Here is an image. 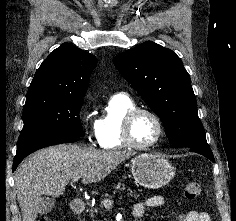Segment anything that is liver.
<instances>
[{
	"instance_id": "liver-1",
	"label": "liver",
	"mask_w": 236,
	"mask_h": 221,
	"mask_svg": "<svg viewBox=\"0 0 236 221\" xmlns=\"http://www.w3.org/2000/svg\"><path fill=\"white\" fill-rule=\"evenodd\" d=\"M132 155L128 151H100L71 144L35 152L15 172L23 221L36 220L42 195H62L68 182L76 177L81 178L83 184L100 182Z\"/></svg>"
}]
</instances>
